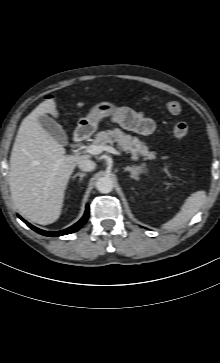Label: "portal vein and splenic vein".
I'll list each match as a JSON object with an SVG mask.
<instances>
[{
	"instance_id": "obj_1",
	"label": "portal vein and splenic vein",
	"mask_w": 220,
	"mask_h": 363,
	"mask_svg": "<svg viewBox=\"0 0 220 363\" xmlns=\"http://www.w3.org/2000/svg\"><path fill=\"white\" fill-rule=\"evenodd\" d=\"M85 150L87 153H90L92 155H97L102 153L103 151H107L109 153L115 154V155H119L121 156L122 153L120 151H118L117 149H115L112 146H101V145H94L91 144L89 146L85 147Z\"/></svg>"
}]
</instances>
